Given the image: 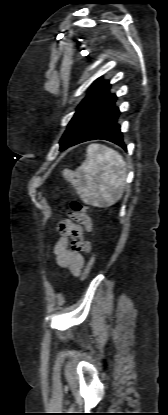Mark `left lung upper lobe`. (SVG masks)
Segmentation results:
<instances>
[{"label": "left lung upper lobe", "mask_w": 168, "mask_h": 415, "mask_svg": "<svg viewBox=\"0 0 168 415\" xmlns=\"http://www.w3.org/2000/svg\"><path fill=\"white\" fill-rule=\"evenodd\" d=\"M92 85L93 88L76 109L60 140L61 151L73 146L95 117L116 98L115 94L109 92L111 85L108 81H102L101 78H98Z\"/></svg>", "instance_id": "obj_1"}]
</instances>
